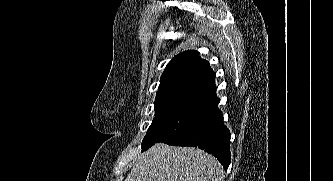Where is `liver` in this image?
I'll list each match as a JSON object with an SVG mask.
<instances>
[{"instance_id":"obj_1","label":"liver","mask_w":333,"mask_h":181,"mask_svg":"<svg viewBox=\"0 0 333 181\" xmlns=\"http://www.w3.org/2000/svg\"><path fill=\"white\" fill-rule=\"evenodd\" d=\"M223 175L218 160L201 149L157 143L133 161L125 181H222Z\"/></svg>"}]
</instances>
